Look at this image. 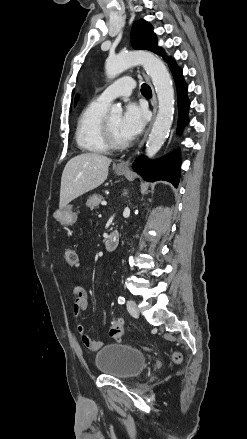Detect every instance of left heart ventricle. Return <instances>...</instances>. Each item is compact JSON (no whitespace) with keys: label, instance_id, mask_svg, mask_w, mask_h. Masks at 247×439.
<instances>
[{"label":"left heart ventricle","instance_id":"b2bd125f","mask_svg":"<svg viewBox=\"0 0 247 439\" xmlns=\"http://www.w3.org/2000/svg\"><path fill=\"white\" fill-rule=\"evenodd\" d=\"M107 119H108L111 130H112L113 135L116 138V140L120 141V142L126 141L124 139V137L121 135L120 130H119L121 117L120 116H110Z\"/></svg>","mask_w":247,"mask_h":439}]
</instances>
